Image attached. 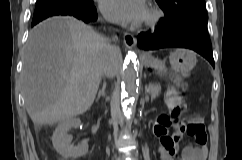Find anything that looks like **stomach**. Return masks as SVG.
<instances>
[{"instance_id": "1", "label": "stomach", "mask_w": 242, "mask_h": 160, "mask_svg": "<svg viewBox=\"0 0 242 160\" xmlns=\"http://www.w3.org/2000/svg\"><path fill=\"white\" fill-rule=\"evenodd\" d=\"M144 64L162 73L165 70V62L152 57H144ZM170 64L174 70L181 74L188 73L196 64V55L193 51L188 49L179 48L170 54Z\"/></svg>"}]
</instances>
